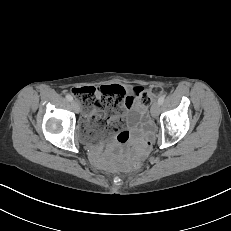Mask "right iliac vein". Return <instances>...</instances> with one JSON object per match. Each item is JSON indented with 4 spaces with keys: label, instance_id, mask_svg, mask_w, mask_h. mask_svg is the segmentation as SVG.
<instances>
[{
    "label": "right iliac vein",
    "instance_id": "63e3f726",
    "mask_svg": "<svg viewBox=\"0 0 231 231\" xmlns=\"http://www.w3.org/2000/svg\"><path fill=\"white\" fill-rule=\"evenodd\" d=\"M71 106H72L73 110H74L76 113H79V111H80V105L78 104V102L72 101V102H71Z\"/></svg>",
    "mask_w": 231,
    "mask_h": 231
}]
</instances>
